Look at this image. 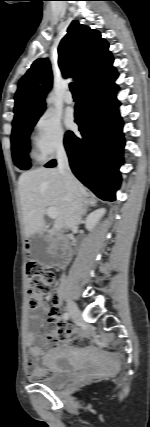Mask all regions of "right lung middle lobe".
Returning a JSON list of instances; mask_svg holds the SVG:
<instances>
[{
    "label": "right lung middle lobe",
    "instance_id": "right-lung-middle-lobe-1",
    "mask_svg": "<svg viewBox=\"0 0 150 427\" xmlns=\"http://www.w3.org/2000/svg\"><path fill=\"white\" fill-rule=\"evenodd\" d=\"M41 114L42 112L13 123L11 135L12 157L14 164L20 169H28L30 167V160L27 156L30 150L29 135Z\"/></svg>",
    "mask_w": 150,
    "mask_h": 427
}]
</instances>
